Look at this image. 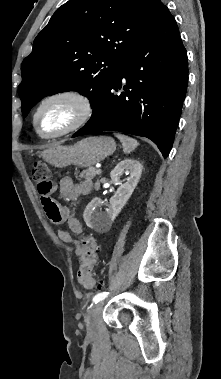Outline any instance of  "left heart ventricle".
Returning a JSON list of instances; mask_svg holds the SVG:
<instances>
[{
    "instance_id": "obj_1",
    "label": "left heart ventricle",
    "mask_w": 221,
    "mask_h": 379,
    "mask_svg": "<svg viewBox=\"0 0 221 379\" xmlns=\"http://www.w3.org/2000/svg\"><path fill=\"white\" fill-rule=\"evenodd\" d=\"M76 110L65 100L54 101L44 107L38 118V127L44 134L57 132L73 120Z\"/></svg>"
}]
</instances>
